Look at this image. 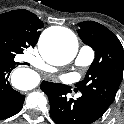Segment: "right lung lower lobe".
I'll return each instance as SVG.
<instances>
[{"instance_id": "98d812e1", "label": "right lung lower lobe", "mask_w": 124, "mask_h": 124, "mask_svg": "<svg viewBox=\"0 0 124 124\" xmlns=\"http://www.w3.org/2000/svg\"><path fill=\"white\" fill-rule=\"evenodd\" d=\"M16 66L14 61L0 60V120L18 113L24 103L25 96L15 91L8 81L10 72Z\"/></svg>"}]
</instances>
